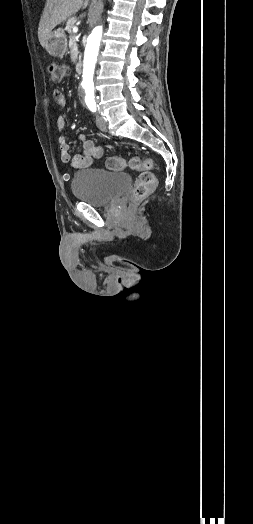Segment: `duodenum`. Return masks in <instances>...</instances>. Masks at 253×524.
<instances>
[{
  "label": "duodenum",
  "mask_w": 253,
  "mask_h": 524,
  "mask_svg": "<svg viewBox=\"0 0 253 524\" xmlns=\"http://www.w3.org/2000/svg\"><path fill=\"white\" fill-rule=\"evenodd\" d=\"M82 68H83V64L81 61H77L76 65H75V70L77 73H81L82 71Z\"/></svg>",
  "instance_id": "obj_1"
}]
</instances>
